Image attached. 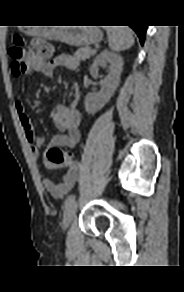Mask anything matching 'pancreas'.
Listing matches in <instances>:
<instances>
[{
    "instance_id": "pancreas-1",
    "label": "pancreas",
    "mask_w": 184,
    "mask_h": 292,
    "mask_svg": "<svg viewBox=\"0 0 184 292\" xmlns=\"http://www.w3.org/2000/svg\"><path fill=\"white\" fill-rule=\"evenodd\" d=\"M91 51H92V49L89 46L80 47L74 53V59L76 61L89 59L92 55Z\"/></svg>"
}]
</instances>
